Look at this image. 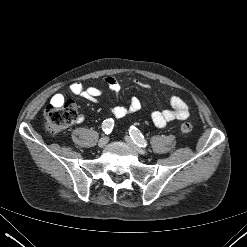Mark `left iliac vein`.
I'll use <instances>...</instances> for the list:
<instances>
[{"label": "left iliac vein", "instance_id": "obj_1", "mask_svg": "<svg viewBox=\"0 0 247 247\" xmlns=\"http://www.w3.org/2000/svg\"><path fill=\"white\" fill-rule=\"evenodd\" d=\"M125 141L139 154L144 155L145 151L144 149H142L140 146H138L137 144H135V142L129 137L126 136L125 137Z\"/></svg>", "mask_w": 247, "mask_h": 247}]
</instances>
